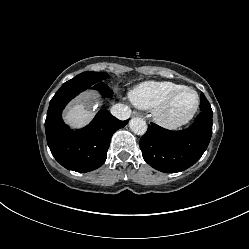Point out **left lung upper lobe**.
<instances>
[{
	"label": "left lung upper lobe",
	"mask_w": 249,
	"mask_h": 249,
	"mask_svg": "<svg viewBox=\"0 0 249 249\" xmlns=\"http://www.w3.org/2000/svg\"><path fill=\"white\" fill-rule=\"evenodd\" d=\"M200 109L202 110L203 108H201V106H200ZM204 109L211 110L210 104L208 103L207 107H205Z\"/></svg>",
	"instance_id": "obj_1"
}]
</instances>
